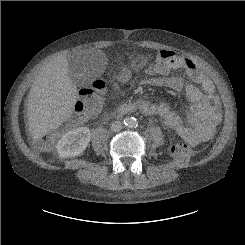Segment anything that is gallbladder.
Masks as SVG:
<instances>
[{"mask_svg": "<svg viewBox=\"0 0 245 245\" xmlns=\"http://www.w3.org/2000/svg\"><path fill=\"white\" fill-rule=\"evenodd\" d=\"M84 58V54L82 55H72L68 58V65L70 70V76L73 79L74 83L78 86L85 83L89 78V72L86 70H82V61ZM85 73V76H81L82 73Z\"/></svg>", "mask_w": 245, "mask_h": 245, "instance_id": "gallbladder-1", "label": "gallbladder"}]
</instances>
